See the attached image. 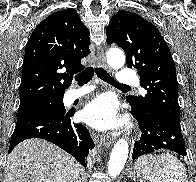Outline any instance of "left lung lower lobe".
Listing matches in <instances>:
<instances>
[{
  "label": "left lung lower lobe",
  "mask_w": 196,
  "mask_h": 182,
  "mask_svg": "<svg viewBox=\"0 0 196 182\" xmlns=\"http://www.w3.org/2000/svg\"><path fill=\"white\" fill-rule=\"evenodd\" d=\"M129 103L142 131L140 140L134 145L133 159L158 149L170 150L182 156L187 154L180 122L159 109L147 107L139 110L131 102Z\"/></svg>",
  "instance_id": "0a47b994"
}]
</instances>
